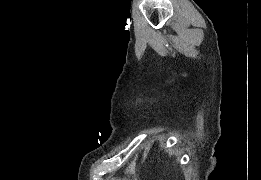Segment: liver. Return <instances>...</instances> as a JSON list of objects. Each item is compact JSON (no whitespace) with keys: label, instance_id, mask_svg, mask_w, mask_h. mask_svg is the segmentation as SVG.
I'll return each mask as SVG.
<instances>
[{"label":"liver","instance_id":"6515ba94","mask_svg":"<svg viewBox=\"0 0 261 180\" xmlns=\"http://www.w3.org/2000/svg\"><path fill=\"white\" fill-rule=\"evenodd\" d=\"M135 164L136 158H133L132 162H130L128 168L125 170V174H135Z\"/></svg>","mask_w":261,"mask_h":180}]
</instances>
